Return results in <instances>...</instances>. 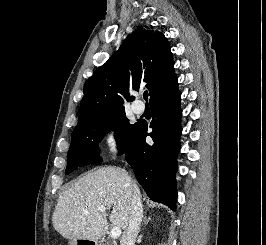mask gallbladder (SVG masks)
Wrapping results in <instances>:
<instances>
[{"mask_svg": "<svg viewBox=\"0 0 266 245\" xmlns=\"http://www.w3.org/2000/svg\"><path fill=\"white\" fill-rule=\"evenodd\" d=\"M69 243H70V245H72L73 241H71V239H70Z\"/></svg>", "mask_w": 266, "mask_h": 245, "instance_id": "gallbladder-1", "label": "gallbladder"}]
</instances>
